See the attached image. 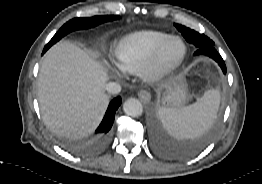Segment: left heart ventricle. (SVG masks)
<instances>
[{
	"label": "left heart ventricle",
	"instance_id": "b2bd125f",
	"mask_svg": "<svg viewBox=\"0 0 262 184\" xmlns=\"http://www.w3.org/2000/svg\"><path fill=\"white\" fill-rule=\"evenodd\" d=\"M181 52V45L178 42H173L166 51L165 59L171 60L176 58Z\"/></svg>",
	"mask_w": 262,
	"mask_h": 184
}]
</instances>
